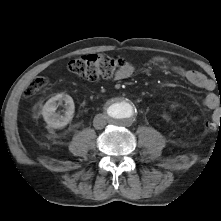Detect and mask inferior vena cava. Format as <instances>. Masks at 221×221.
<instances>
[{
    "label": "inferior vena cava",
    "mask_w": 221,
    "mask_h": 221,
    "mask_svg": "<svg viewBox=\"0 0 221 221\" xmlns=\"http://www.w3.org/2000/svg\"><path fill=\"white\" fill-rule=\"evenodd\" d=\"M107 124L106 116L103 114H97L93 120V126L96 129H102Z\"/></svg>",
    "instance_id": "obj_1"
}]
</instances>
